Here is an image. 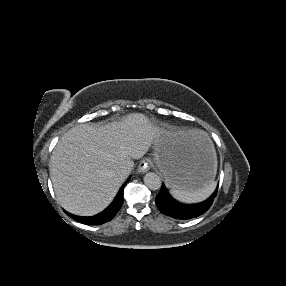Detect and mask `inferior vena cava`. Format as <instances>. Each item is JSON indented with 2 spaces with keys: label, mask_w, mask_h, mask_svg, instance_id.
<instances>
[{
  "label": "inferior vena cava",
  "mask_w": 286,
  "mask_h": 286,
  "mask_svg": "<svg viewBox=\"0 0 286 286\" xmlns=\"http://www.w3.org/2000/svg\"><path fill=\"white\" fill-rule=\"evenodd\" d=\"M132 170V167L130 164H127V163H124V164H121L119 165L117 168H116V173L120 176V177H123V178H126L130 171Z\"/></svg>",
  "instance_id": "inferior-vena-cava-1"
}]
</instances>
